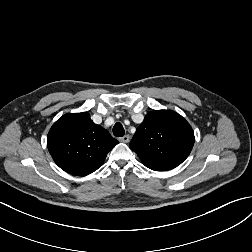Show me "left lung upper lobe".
Here are the masks:
<instances>
[{
  "instance_id": "left-lung-upper-lobe-1",
  "label": "left lung upper lobe",
  "mask_w": 252,
  "mask_h": 252,
  "mask_svg": "<svg viewBox=\"0 0 252 252\" xmlns=\"http://www.w3.org/2000/svg\"><path fill=\"white\" fill-rule=\"evenodd\" d=\"M193 144L194 132L181 115L172 110H154L137 128L130 148L149 167L160 162L181 164Z\"/></svg>"
}]
</instances>
